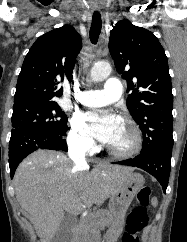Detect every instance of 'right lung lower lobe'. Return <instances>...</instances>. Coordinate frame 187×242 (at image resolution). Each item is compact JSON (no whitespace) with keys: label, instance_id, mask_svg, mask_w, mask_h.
Instances as JSON below:
<instances>
[{"label":"right lung lower lobe","instance_id":"right-lung-lower-lobe-1","mask_svg":"<svg viewBox=\"0 0 187 242\" xmlns=\"http://www.w3.org/2000/svg\"><path fill=\"white\" fill-rule=\"evenodd\" d=\"M37 149L67 151L62 135L37 131H16L11 133L9 142V166L11 178L19 163Z\"/></svg>","mask_w":187,"mask_h":242}]
</instances>
